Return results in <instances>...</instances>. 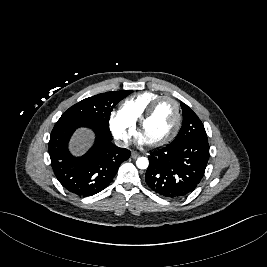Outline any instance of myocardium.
<instances>
[{
  "instance_id": "obj_1",
  "label": "myocardium",
  "mask_w": 267,
  "mask_h": 267,
  "mask_svg": "<svg viewBox=\"0 0 267 267\" xmlns=\"http://www.w3.org/2000/svg\"><path fill=\"white\" fill-rule=\"evenodd\" d=\"M164 101H170L175 106L176 122H175V125H174L172 131L166 137H164L163 139H161L159 141L148 143L150 146H153V147L163 146V145L169 143L171 140H173L174 137L177 135V133L181 127V123H182V114H181V108H180L179 102L170 96H161V97L157 98L156 100H154L148 106V108L145 110V112L143 113V115L139 119V121L137 123L138 134L141 135V131H142V128L144 127V125L152 117V115L154 114L157 107Z\"/></svg>"
}]
</instances>
